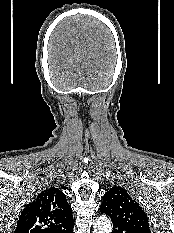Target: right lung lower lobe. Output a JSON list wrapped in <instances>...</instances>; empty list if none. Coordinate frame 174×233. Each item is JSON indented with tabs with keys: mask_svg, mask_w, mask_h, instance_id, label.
<instances>
[{
	"mask_svg": "<svg viewBox=\"0 0 174 233\" xmlns=\"http://www.w3.org/2000/svg\"><path fill=\"white\" fill-rule=\"evenodd\" d=\"M73 227H74V225L69 230H66L63 233H73Z\"/></svg>",
	"mask_w": 174,
	"mask_h": 233,
	"instance_id": "1",
	"label": "right lung lower lobe"
}]
</instances>
